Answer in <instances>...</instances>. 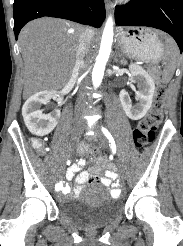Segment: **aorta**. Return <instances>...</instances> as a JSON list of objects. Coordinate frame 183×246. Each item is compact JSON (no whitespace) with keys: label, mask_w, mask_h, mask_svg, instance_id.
I'll list each match as a JSON object with an SVG mask.
<instances>
[{"label":"aorta","mask_w":183,"mask_h":246,"mask_svg":"<svg viewBox=\"0 0 183 246\" xmlns=\"http://www.w3.org/2000/svg\"><path fill=\"white\" fill-rule=\"evenodd\" d=\"M113 24V18L109 16L103 30L99 53L92 71V82L95 88L99 87L102 82L105 66L111 53L114 35Z\"/></svg>","instance_id":"obj_1"}]
</instances>
